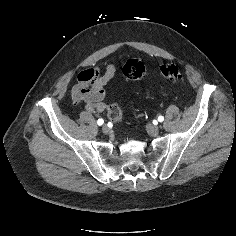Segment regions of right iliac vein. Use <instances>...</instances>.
Here are the masks:
<instances>
[{"label":"right iliac vein","mask_w":236,"mask_h":236,"mask_svg":"<svg viewBox=\"0 0 236 236\" xmlns=\"http://www.w3.org/2000/svg\"><path fill=\"white\" fill-rule=\"evenodd\" d=\"M102 132H103L104 134H109V133H110V128H109L107 125H104V126L102 127Z\"/></svg>","instance_id":"right-iliac-vein-1"}]
</instances>
